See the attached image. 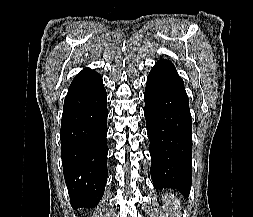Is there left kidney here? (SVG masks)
<instances>
[{"instance_id": "left-kidney-1", "label": "left kidney", "mask_w": 253, "mask_h": 217, "mask_svg": "<svg viewBox=\"0 0 253 217\" xmlns=\"http://www.w3.org/2000/svg\"><path fill=\"white\" fill-rule=\"evenodd\" d=\"M164 201L166 206H173L174 210L177 211V213H180V204L178 200L171 194L164 196ZM180 217V216H179Z\"/></svg>"}]
</instances>
